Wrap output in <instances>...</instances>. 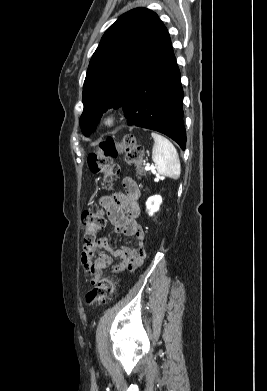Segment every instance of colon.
Instances as JSON below:
<instances>
[{
    "label": "colon",
    "instance_id": "1",
    "mask_svg": "<svg viewBox=\"0 0 267 391\" xmlns=\"http://www.w3.org/2000/svg\"><path fill=\"white\" fill-rule=\"evenodd\" d=\"M119 153H124L126 161L133 164L139 173L142 172L144 151L133 135H125L120 142L107 138L100 144L97 152L90 153L87 157L90 171L102 174L106 185H110L119 173V166L113 161ZM81 223L85 247L91 246L105 227L104 212L99 208L89 209L83 212ZM114 287L115 282L112 278L100 279L87 293V304L89 306L104 304L111 298Z\"/></svg>",
    "mask_w": 267,
    "mask_h": 391
}]
</instances>
